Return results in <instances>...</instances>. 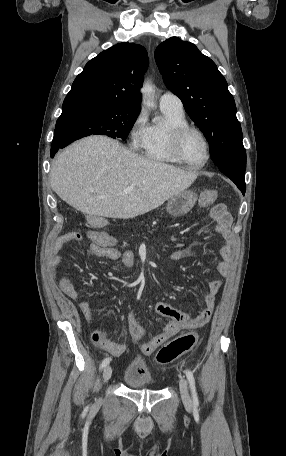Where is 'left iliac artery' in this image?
<instances>
[{"instance_id": "left-iliac-artery-1", "label": "left iliac artery", "mask_w": 286, "mask_h": 456, "mask_svg": "<svg viewBox=\"0 0 286 456\" xmlns=\"http://www.w3.org/2000/svg\"><path fill=\"white\" fill-rule=\"evenodd\" d=\"M185 374H186V377L188 379V382H189V385L191 388L193 404L195 406H198L199 400H198V396H197V392H196L195 379H194L193 373L190 370L186 369Z\"/></svg>"}]
</instances>
